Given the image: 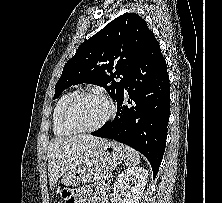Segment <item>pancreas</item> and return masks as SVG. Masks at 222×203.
Instances as JSON below:
<instances>
[{"label":"pancreas","mask_w":222,"mask_h":203,"mask_svg":"<svg viewBox=\"0 0 222 203\" xmlns=\"http://www.w3.org/2000/svg\"><path fill=\"white\" fill-rule=\"evenodd\" d=\"M112 163L113 161H103L102 163L97 164L92 172L88 174L86 181L94 182L108 180L114 170Z\"/></svg>","instance_id":"obj_1"}]
</instances>
